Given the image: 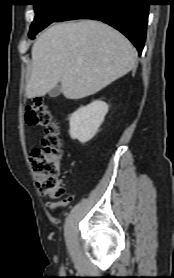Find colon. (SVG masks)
Segmentation results:
<instances>
[{
  "instance_id": "5ec220e1",
  "label": "colon",
  "mask_w": 174,
  "mask_h": 278,
  "mask_svg": "<svg viewBox=\"0 0 174 278\" xmlns=\"http://www.w3.org/2000/svg\"><path fill=\"white\" fill-rule=\"evenodd\" d=\"M25 120L30 125L45 128L42 146L34 149L30 157L37 190L40 195L48 197L51 203L60 202L65 188L60 178L62 144L59 127L54 122L47 104L41 99H35L26 107Z\"/></svg>"
}]
</instances>
